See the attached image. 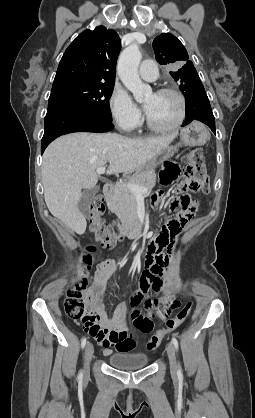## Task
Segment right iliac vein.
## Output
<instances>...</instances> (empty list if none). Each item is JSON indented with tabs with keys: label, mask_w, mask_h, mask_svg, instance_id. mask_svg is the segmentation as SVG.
Wrapping results in <instances>:
<instances>
[{
	"label": "right iliac vein",
	"mask_w": 255,
	"mask_h": 418,
	"mask_svg": "<svg viewBox=\"0 0 255 418\" xmlns=\"http://www.w3.org/2000/svg\"><path fill=\"white\" fill-rule=\"evenodd\" d=\"M94 353V348L91 343H87L85 348V366H84V375L87 376L89 373L90 362Z\"/></svg>",
	"instance_id": "obj_1"
}]
</instances>
